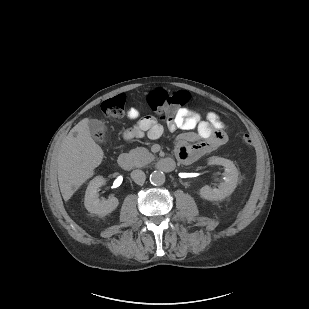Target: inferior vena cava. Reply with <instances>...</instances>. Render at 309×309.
I'll return each instance as SVG.
<instances>
[{"mask_svg": "<svg viewBox=\"0 0 309 309\" xmlns=\"http://www.w3.org/2000/svg\"><path fill=\"white\" fill-rule=\"evenodd\" d=\"M131 178L138 185H143L146 180V175L142 170H133L131 172Z\"/></svg>", "mask_w": 309, "mask_h": 309, "instance_id": "obj_1", "label": "inferior vena cava"}]
</instances>
